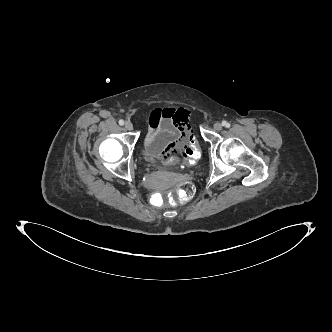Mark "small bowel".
<instances>
[{"mask_svg":"<svg viewBox=\"0 0 332 332\" xmlns=\"http://www.w3.org/2000/svg\"><path fill=\"white\" fill-rule=\"evenodd\" d=\"M189 111L185 108L157 107L148 119L143 158L148 163L164 166L170 158H177L191 138Z\"/></svg>","mask_w":332,"mask_h":332,"instance_id":"obj_1","label":"small bowel"}]
</instances>
